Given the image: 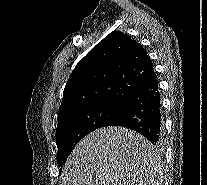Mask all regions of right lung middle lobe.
Returning a JSON list of instances; mask_svg holds the SVG:
<instances>
[{"instance_id":"obj_1","label":"right lung middle lobe","mask_w":207,"mask_h":185,"mask_svg":"<svg viewBox=\"0 0 207 185\" xmlns=\"http://www.w3.org/2000/svg\"><path fill=\"white\" fill-rule=\"evenodd\" d=\"M120 108L118 105L102 104L59 121L56 129L58 165L62 167L75 145L90 132L106 126L117 116ZM59 171L61 173L62 169Z\"/></svg>"}]
</instances>
